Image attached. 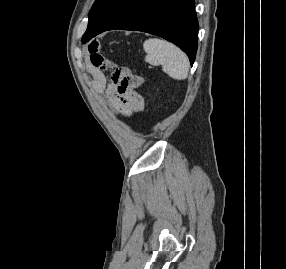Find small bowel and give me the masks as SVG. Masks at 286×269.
Here are the masks:
<instances>
[{"label": "small bowel", "instance_id": "c3829d8e", "mask_svg": "<svg viewBox=\"0 0 286 269\" xmlns=\"http://www.w3.org/2000/svg\"><path fill=\"white\" fill-rule=\"evenodd\" d=\"M90 61L88 68L91 73V85L97 94H106L110 112L115 116L132 117L141 110H125L124 100L118 95V88H115L113 80L114 63L106 59L98 49L97 44H90L88 47ZM107 71H112L110 76L106 75ZM144 104L142 105L143 109Z\"/></svg>", "mask_w": 286, "mask_h": 269}]
</instances>
